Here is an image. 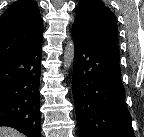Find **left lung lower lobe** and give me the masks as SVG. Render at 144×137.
Returning a JSON list of instances; mask_svg holds the SVG:
<instances>
[{"label": "left lung lower lobe", "mask_w": 144, "mask_h": 137, "mask_svg": "<svg viewBox=\"0 0 144 137\" xmlns=\"http://www.w3.org/2000/svg\"><path fill=\"white\" fill-rule=\"evenodd\" d=\"M72 91L79 137H135L125 104L120 55L72 29Z\"/></svg>", "instance_id": "left-lung-lower-lobe-1"}]
</instances>
